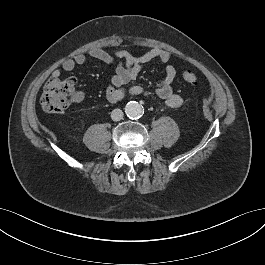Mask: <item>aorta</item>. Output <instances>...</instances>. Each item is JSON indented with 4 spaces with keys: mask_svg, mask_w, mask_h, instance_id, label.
<instances>
[{
    "mask_svg": "<svg viewBox=\"0 0 265 265\" xmlns=\"http://www.w3.org/2000/svg\"><path fill=\"white\" fill-rule=\"evenodd\" d=\"M125 113L129 118H138L143 114V107L136 101H130L125 106Z\"/></svg>",
    "mask_w": 265,
    "mask_h": 265,
    "instance_id": "1",
    "label": "aorta"
}]
</instances>
